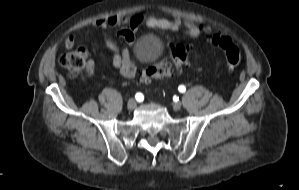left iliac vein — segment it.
Returning <instances> with one entry per match:
<instances>
[{"label": "left iliac vein", "instance_id": "4c4485c4", "mask_svg": "<svg viewBox=\"0 0 299 190\" xmlns=\"http://www.w3.org/2000/svg\"><path fill=\"white\" fill-rule=\"evenodd\" d=\"M181 107H182V105H181L180 102H175V103H173V109H174V110L178 111V110L181 109Z\"/></svg>", "mask_w": 299, "mask_h": 190}]
</instances>
